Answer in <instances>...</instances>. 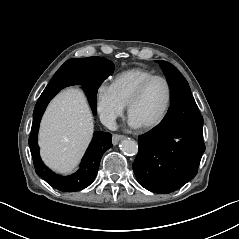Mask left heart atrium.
<instances>
[{
    "instance_id": "obj_1",
    "label": "left heart atrium",
    "mask_w": 239,
    "mask_h": 239,
    "mask_svg": "<svg viewBox=\"0 0 239 239\" xmlns=\"http://www.w3.org/2000/svg\"><path fill=\"white\" fill-rule=\"evenodd\" d=\"M129 122H130V125L133 127V128H139L141 125L139 124V122L132 116H130L129 118Z\"/></svg>"
}]
</instances>
